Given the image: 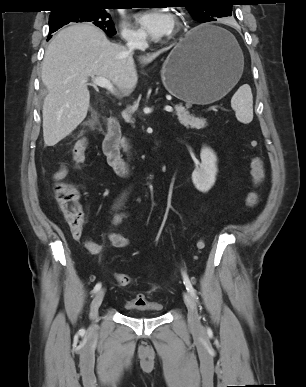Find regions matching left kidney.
Here are the masks:
<instances>
[{"label": "left kidney", "mask_w": 306, "mask_h": 387, "mask_svg": "<svg viewBox=\"0 0 306 387\" xmlns=\"http://www.w3.org/2000/svg\"><path fill=\"white\" fill-rule=\"evenodd\" d=\"M201 164L192 173V182L197 190L201 192L209 191L216 181L217 157L215 153L207 147H203L200 153Z\"/></svg>", "instance_id": "5707ae66"}]
</instances>
